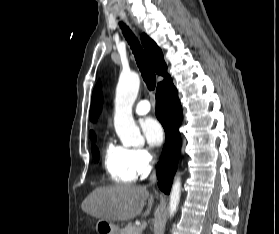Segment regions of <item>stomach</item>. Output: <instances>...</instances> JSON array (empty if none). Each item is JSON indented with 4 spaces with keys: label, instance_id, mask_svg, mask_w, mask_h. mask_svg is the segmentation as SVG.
Wrapping results in <instances>:
<instances>
[{
    "label": "stomach",
    "instance_id": "0dacf381",
    "mask_svg": "<svg viewBox=\"0 0 279 234\" xmlns=\"http://www.w3.org/2000/svg\"><path fill=\"white\" fill-rule=\"evenodd\" d=\"M96 231L98 234H120L121 229L109 221L100 219L96 223Z\"/></svg>",
    "mask_w": 279,
    "mask_h": 234
}]
</instances>
